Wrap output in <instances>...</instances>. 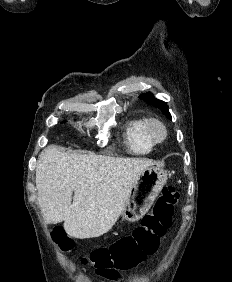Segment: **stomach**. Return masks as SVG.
Wrapping results in <instances>:
<instances>
[{
  "mask_svg": "<svg viewBox=\"0 0 232 282\" xmlns=\"http://www.w3.org/2000/svg\"><path fill=\"white\" fill-rule=\"evenodd\" d=\"M167 176V171L158 166H150L142 171L121 212L122 221L135 222L141 219L166 184Z\"/></svg>",
  "mask_w": 232,
  "mask_h": 282,
  "instance_id": "stomach-1",
  "label": "stomach"
}]
</instances>
